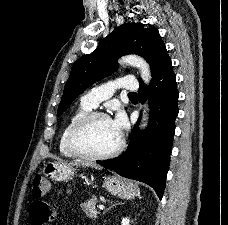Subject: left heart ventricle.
<instances>
[{
	"instance_id": "b2bd125f",
	"label": "left heart ventricle",
	"mask_w": 228,
	"mask_h": 225,
	"mask_svg": "<svg viewBox=\"0 0 228 225\" xmlns=\"http://www.w3.org/2000/svg\"><path fill=\"white\" fill-rule=\"evenodd\" d=\"M120 137L114 132L111 121L97 119L83 132L80 143L88 151L104 153L119 144Z\"/></svg>"
}]
</instances>
